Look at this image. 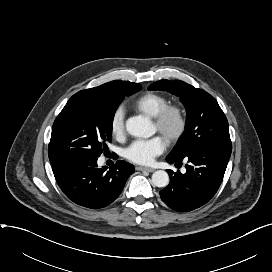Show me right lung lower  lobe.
Segmentation results:
<instances>
[{
	"label": "right lung lower lobe",
	"instance_id": "98d812e1",
	"mask_svg": "<svg viewBox=\"0 0 272 272\" xmlns=\"http://www.w3.org/2000/svg\"><path fill=\"white\" fill-rule=\"evenodd\" d=\"M98 158L67 160L52 167L54 177L63 193L74 203L99 209L112 203L121 193L134 166L119 160L99 168Z\"/></svg>",
	"mask_w": 272,
	"mask_h": 272
}]
</instances>
